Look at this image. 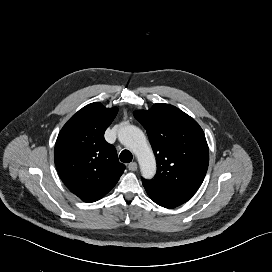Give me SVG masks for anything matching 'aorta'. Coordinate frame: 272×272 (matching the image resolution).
Wrapping results in <instances>:
<instances>
[{
    "label": "aorta",
    "mask_w": 272,
    "mask_h": 272,
    "mask_svg": "<svg viewBox=\"0 0 272 272\" xmlns=\"http://www.w3.org/2000/svg\"><path fill=\"white\" fill-rule=\"evenodd\" d=\"M120 142L131 148L136 155L141 174L145 179H152L156 173V161L144 133L136 126L123 127L118 134Z\"/></svg>",
    "instance_id": "762f6f07"
}]
</instances>
